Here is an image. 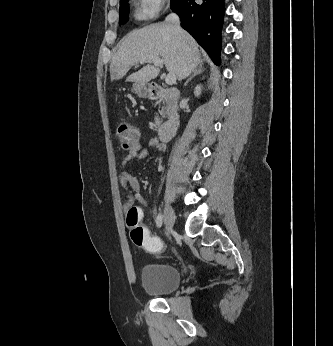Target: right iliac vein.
I'll use <instances>...</instances> for the list:
<instances>
[{
	"mask_svg": "<svg viewBox=\"0 0 333 346\" xmlns=\"http://www.w3.org/2000/svg\"><path fill=\"white\" fill-rule=\"evenodd\" d=\"M174 212L170 204H166L164 210V225L167 230V234H169L174 225Z\"/></svg>",
	"mask_w": 333,
	"mask_h": 346,
	"instance_id": "obj_1",
	"label": "right iliac vein"
}]
</instances>
